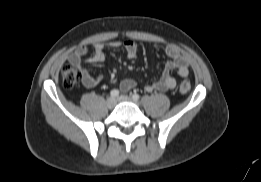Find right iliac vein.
Wrapping results in <instances>:
<instances>
[{
  "instance_id": "right-iliac-vein-1",
  "label": "right iliac vein",
  "mask_w": 261,
  "mask_h": 182,
  "mask_svg": "<svg viewBox=\"0 0 261 182\" xmlns=\"http://www.w3.org/2000/svg\"><path fill=\"white\" fill-rule=\"evenodd\" d=\"M116 99L113 98V97H109L106 101V106L109 108V109H113L115 106H116Z\"/></svg>"
}]
</instances>
